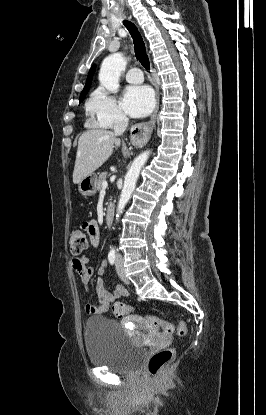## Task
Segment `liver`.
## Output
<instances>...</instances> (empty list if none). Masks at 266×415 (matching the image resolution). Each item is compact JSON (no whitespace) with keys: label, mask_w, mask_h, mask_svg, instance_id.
<instances>
[{"label":"liver","mask_w":266,"mask_h":415,"mask_svg":"<svg viewBox=\"0 0 266 415\" xmlns=\"http://www.w3.org/2000/svg\"><path fill=\"white\" fill-rule=\"evenodd\" d=\"M120 144V139L109 130L91 129L85 131L78 141L73 183L79 184L83 178L92 174Z\"/></svg>","instance_id":"6515ba94"}]
</instances>
